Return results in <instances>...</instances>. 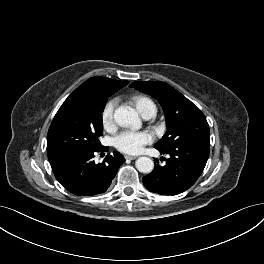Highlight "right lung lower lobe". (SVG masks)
Masks as SVG:
<instances>
[{
	"label": "right lung lower lobe",
	"mask_w": 264,
	"mask_h": 264,
	"mask_svg": "<svg viewBox=\"0 0 264 264\" xmlns=\"http://www.w3.org/2000/svg\"><path fill=\"white\" fill-rule=\"evenodd\" d=\"M104 147L99 150L76 149L64 152L49 159L53 173L61 185L77 196H88L104 193L114 179L124 157L114 152L102 163L94 162L97 152L107 151Z\"/></svg>",
	"instance_id": "right-lung-lower-lobe-1"
}]
</instances>
